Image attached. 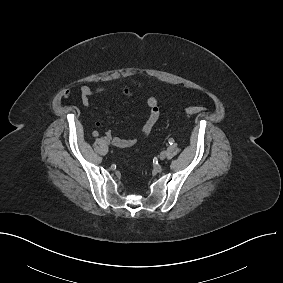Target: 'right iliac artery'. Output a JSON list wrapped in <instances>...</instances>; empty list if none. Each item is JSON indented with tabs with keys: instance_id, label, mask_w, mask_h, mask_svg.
<instances>
[{
	"instance_id": "right-iliac-artery-1",
	"label": "right iliac artery",
	"mask_w": 283,
	"mask_h": 283,
	"mask_svg": "<svg viewBox=\"0 0 283 283\" xmlns=\"http://www.w3.org/2000/svg\"><path fill=\"white\" fill-rule=\"evenodd\" d=\"M93 136H94V137H97V136H98V132H97V131H94V132H93Z\"/></svg>"
}]
</instances>
